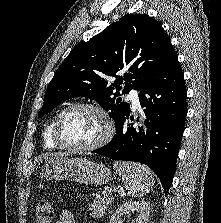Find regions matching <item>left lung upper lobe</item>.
Segmentation results:
<instances>
[{
	"mask_svg": "<svg viewBox=\"0 0 221 223\" xmlns=\"http://www.w3.org/2000/svg\"><path fill=\"white\" fill-rule=\"evenodd\" d=\"M170 44L162 25L147 14L123 16L71 50L47 87L38 117L65 100L82 96L110 111L117 128L130 111L120 95L140 90L152 78Z\"/></svg>",
	"mask_w": 221,
	"mask_h": 223,
	"instance_id": "1",
	"label": "left lung upper lobe"
}]
</instances>
